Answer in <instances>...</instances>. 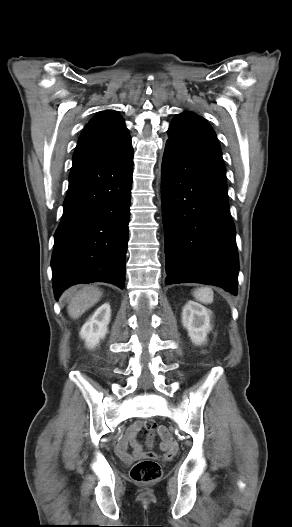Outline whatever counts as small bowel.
I'll return each instance as SVG.
<instances>
[{"instance_id":"obj_1","label":"small bowel","mask_w":292,"mask_h":527,"mask_svg":"<svg viewBox=\"0 0 292 527\" xmlns=\"http://www.w3.org/2000/svg\"><path fill=\"white\" fill-rule=\"evenodd\" d=\"M142 428L144 429L141 423L133 424L127 430V432L122 437V439L117 443L116 452L118 456L125 462H131L133 458H144V457L155 456V454L152 452L143 451L142 446L137 441V434ZM152 429L153 430H146V431H154L160 435L161 440H162L160 444V449L163 452V454H161V457H162L161 461L162 463L167 464L170 461L169 457L172 456L176 452L177 445L175 441L172 439V437L169 434H167L168 428L166 426H163L162 423H154L152 426ZM129 446L133 448L132 455L128 452ZM154 461H157V458H154Z\"/></svg>"}]
</instances>
